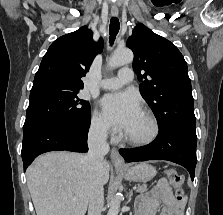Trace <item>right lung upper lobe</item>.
<instances>
[{
	"label": "right lung upper lobe",
	"mask_w": 223,
	"mask_h": 215,
	"mask_svg": "<svg viewBox=\"0 0 223 215\" xmlns=\"http://www.w3.org/2000/svg\"><path fill=\"white\" fill-rule=\"evenodd\" d=\"M103 48V40L93 41L92 31L86 26L56 39L44 55L35 75L30 93L39 91L79 92L97 53Z\"/></svg>",
	"instance_id": "1"
}]
</instances>
